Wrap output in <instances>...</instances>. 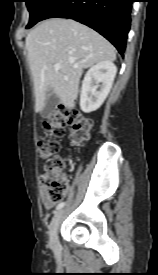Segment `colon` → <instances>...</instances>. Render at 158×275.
Wrapping results in <instances>:
<instances>
[{"label":"colon","mask_w":158,"mask_h":275,"mask_svg":"<svg viewBox=\"0 0 158 275\" xmlns=\"http://www.w3.org/2000/svg\"><path fill=\"white\" fill-rule=\"evenodd\" d=\"M70 129V139L79 145L90 138L93 121L79 111L59 108L49 113L43 122V130L38 136L37 149L40 158L47 160L45 170L39 176V185L45 196L59 202L68 188V180L63 173V160L57 155L60 149L58 140Z\"/></svg>","instance_id":"5ec220e1"}]
</instances>
